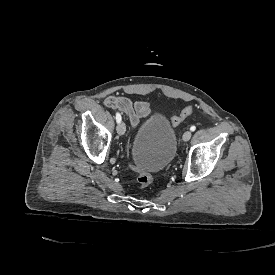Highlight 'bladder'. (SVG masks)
<instances>
[{"mask_svg":"<svg viewBox=\"0 0 275 275\" xmlns=\"http://www.w3.org/2000/svg\"><path fill=\"white\" fill-rule=\"evenodd\" d=\"M175 130L168 117L154 114L136 130L131 149L133 164L148 172L165 169L175 156Z\"/></svg>","mask_w":275,"mask_h":275,"instance_id":"31cf9c89","label":"bladder"}]
</instances>
